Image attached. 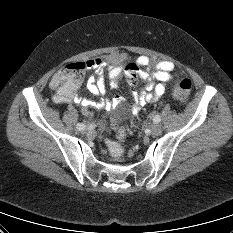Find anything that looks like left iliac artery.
Here are the masks:
<instances>
[{"label": "left iliac artery", "mask_w": 233, "mask_h": 233, "mask_svg": "<svg viewBox=\"0 0 233 233\" xmlns=\"http://www.w3.org/2000/svg\"><path fill=\"white\" fill-rule=\"evenodd\" d=\"M160 121H161V116L160 115L154 116V118H153L154 123H159Z\"/></svg>", "instance_id": "obj_1"}]
</instances>
